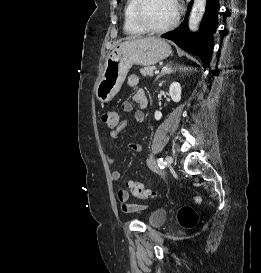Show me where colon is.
Segmentation results:
<instances>
[{
  "instance_id": "obj_1",
  "label": "colon",
  "mask_w": 261,
  "mask_h": 273,
  "mask_svg": "<svg viewBox=\"0 0 261 273\" xmlns=\"http://www.w3.org/2000/svg\"><path fill=\"white\" fill-rule=\"evenodd\" d=\"M102 121L108 127L114 128L119 124V114L117 111L105 112L102 115ZM128 188L130 193L137 198L146 199L153 195L143 184L136 181H129ZM178 219L184 228H192L198 220V215L191 207L184 206L179 211Z\"/></svg>"
}]
</instances>
